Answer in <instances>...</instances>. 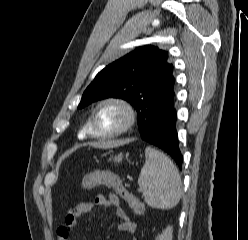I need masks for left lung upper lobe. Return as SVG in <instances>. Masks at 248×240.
<instances>
[{
  "label": "left lung upper lobe",
  "mask_w": 248,
  "mask_h": 240,
  "mask_svg": "<svg viewBox=\"0 0 248 240\" xmlns=\"http://www.w3.org/2000/svg\"><path fill=\"white\" fill-rule=\"evenodd\" d=\"M174 84L168 53L158 47H139L101 70L84 91L78 108L103 98H122L136 109L141 133L162 107L173 102Z\"/></svg>",
  "instance_id": "5c2ea615"
}]
</instances>
